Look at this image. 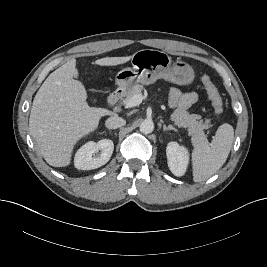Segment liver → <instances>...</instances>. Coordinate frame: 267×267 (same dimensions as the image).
Masks as SVG:
<instances>
[{
    "label": "liver",
    "mask_w": 267,
    "mask_h": 267,
    "mask_svg": "<svg viewBox=\"0 0 267 267\" xmlns=\"http://www.w3.org/2000/svg\"><path fill=\"white\" fill-rule=\"evenodd\" d=\"M130 59L106 57L96 64L116 66ZM77 77L76 60H69L47 77L33 100L30 133L45 161L54 167L69 165L75 144L96 130L101 117L112 114L88 105L86 89Z\"/></svg>",
    "instance_id": "1"
}]
</instances>
